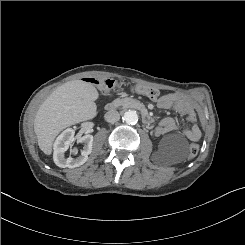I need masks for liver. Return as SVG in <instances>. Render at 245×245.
<instances>
[{
    "mask_svg": "<svg viewBox=\"0 0 245 245\" xmlns=\"http://www.w3.org/2000/svg\"><path fill=\"white\" fill-rule=\"evenodd\" d=\"M98 96L96 87L82 80L69 81L55 89L34 119L39 148L50 155L53 142L63 129L93 119L97 115Z\"/></svg>",
    "mask_w": 245,
    "mask_h": 245,
    "instance_id": "obj_1",
    "label": "liver"
}]
</instances>
